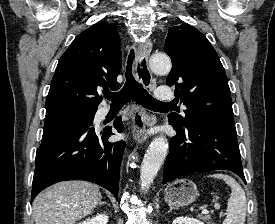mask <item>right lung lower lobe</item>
Segmentation results:
<instances>
[{"mask_svg": "<svg viewBox=\"0 0 275 224\" xmlns=\"http://www.w3.org/2000/svg\"><path fill=\"white\" fill-rule=\"evenodd\" d=\"M113 127L122 132L121 117L113 122ZM111 135V127L98 129L90 122H46L36 152L31 202L41 190L65 180L96 183L118 199L119 166L125 142H109Z\"/></svg>", "mask_w": 275, "mask_h": 224, "instance_id": "98d812e1", "label": "right lung lower lobe"}]
</instances>
